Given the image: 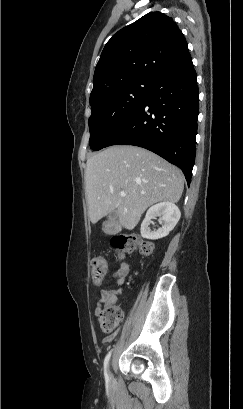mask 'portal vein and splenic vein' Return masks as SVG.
<instances>
[{
  "instance_id": "portal-vein-and-splenic-vein-1",
  "label": "portal vein and splenic vein",
  "mask_w": 243,
  "mask_h": 409,
  "mask_svg": "<svg viewBox=\"0 0 243 409\" xmlns=\"http://www.w3.org/2000/svg\"><path fill=\"white\" fill-rule=\"evenodd\" d=\"M120 195H121L122 197H125V196H126V192L121 191V192H120Z\"/></svg>"
}]
</instances>
